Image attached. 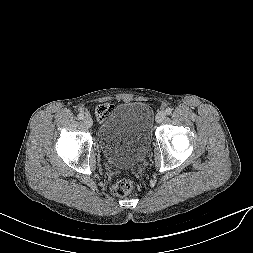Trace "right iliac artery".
<instances>
[{"label":"right iliac artery","mask_w":253,"mask_h":253,"mask_svg":"<svg viewBox=\"0 0 253 253\" xmlns=\"http://www.w3.org/2000/svg\"><path fill=\"white\" fill-rule=\"evenodd\" d=\"M85 118L83 113H79L78 114V119L83 120Z\"/></svg>","instance_id":"right-iliac-artery-1"}]
</instances>
